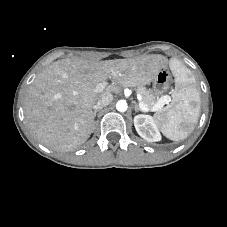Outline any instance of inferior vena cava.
Here are the masks:
<instances>
[{"mask_svg":"<svg viewBox=\"0 0 227 227\" xmlns=\"http://www.w3.org/2000/svg\"><path fill=\"white\" fill-rule=\"evenodd\" d=\"M112 100L113 95L111 93L105 94L93 105V109L98 110L106 107L112 102Z\"/></svg>","mask_w":227,"mask_h":227,"instance_id":"inferior-vena-cava-1","label":"inferior vena cava"}]
</instances>
